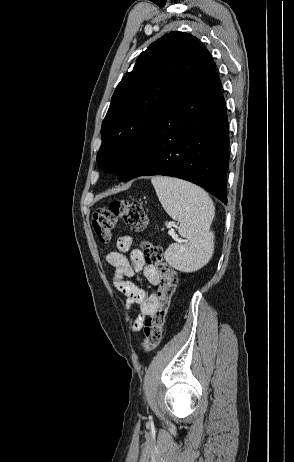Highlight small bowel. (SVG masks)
Returning a JSON list of instances; mask_svg holds the SVG:
<instances>
[{"instance_id":"obj_1","label":"small bowel","mask_w":294,"mask_h":462,"mask_svg":"<svg viewBox=\"0 0 294 462\" xmlns=\"http://www.w3.org/2000/svg\"><path fill=\"white\" fill-rule=\"evenodd\" d=\"M132 244L133 238L130 235L119 237L116 243L117 250L109 252L106 261L115 268L114 284L125 295L126 308L137 305L140 309V316L132 327L133 331H138L143 325L144 318L153 313L157 295L154 291L147 292L129 279L139 280V273L142 272L152 286H157L158 277L155 268L145 264L142 252L137 249L131 250Z\"/></svg>"}]
</instances>
